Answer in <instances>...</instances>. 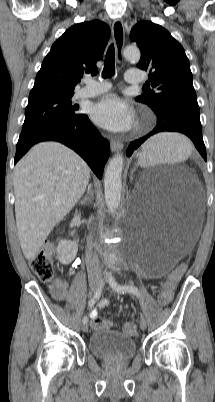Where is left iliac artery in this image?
<instances>
[{"instance_id": "44dca946", "label": "left iliac artery", "mask_w": 215, "mask_h": 402, "mask_svg": "<svg viewBox=\"0 0 215 402\" xmlns=\"http://www.w3.org/2000/svg\"><path fill=\"white\" fill-rule=\"evenodd\" d=\"M109 284L112 287L113 290H115L118 293H130L135 295L136 297H140V292L137 287L133 285H120L118 284L114 278H109Z\"/></svg>"}]
</instances>
